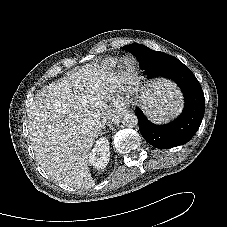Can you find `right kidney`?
<instances>
[{
	"instance_id": "right-kidney-1",
	"label": "right kidney",
	"mask_w": 227,
	"mask_h": 227,
	"mask_svg": "<svg viewBox=\"0 0 227 227\" xmlns=\"http://www.w3.org/2000/svg\"><path fill=\"white\" fill-rule=\"evenodd\" d=\"M109 158V142L106 138H100L89 153L88 161L94 168L99 170L107 166Z\"/></svg>"
}]
</instances>
